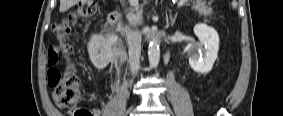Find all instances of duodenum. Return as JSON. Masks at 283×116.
<instances>
[{
    "instance_id": "410a0bca",
    "label": "duodenum",
    "mask_w": 283,
    "mask_h": 116,
    "mask_svg": "<svg viewBox=\"0 0 283 116\" xmlns=\"http://www.w3.org/2000/svg\"><path fill=\"white\" fill-rule=\"evenodd\" d=\"M119 17V10L118 9H114L112 10L108 16H107V20H106V24H107V28L109 31H113L114 30V26L116 21L118 20ZM124 60V57H121L118 62L122 63Z\"/></svg>"
}]
</instances>
